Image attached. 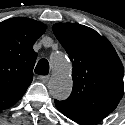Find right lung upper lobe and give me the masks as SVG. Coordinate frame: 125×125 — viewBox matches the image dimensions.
<instances>
[{
	"label": "right lung upper lobe",
	"instance_id": "right-lung-upper-lobe-1",
	"mask_svg": "<svg viewBox=\"0 0 125 125\" xmlns=\"http://www.w3.org/2000/svg\"><path fill=\"white\" fill-rule=\"evenodd\" d=\"M46 26L15 17L0 23V110L17 103L32 82L37 53L33 44Z\"/></svg>",
	"mask_w": 125,
	"mask_h": 125
}]
</instances>
